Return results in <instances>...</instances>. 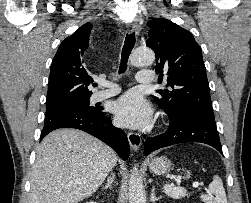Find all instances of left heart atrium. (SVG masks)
I'll return each instance as SVG.
<instances>
[{
    "label": "left heart atrium",
    "mask_w": 251,
    "mask_h": 203,
    "mask_svg": "<svg viewBox=\"0 0 251 203\" xmlns=\"http://www.w3.org/2000/svg\"><path fill=\"white\" fill-rule=\"evenodd\" d=\"M116 121L125 127L139 128L151 119V109L141 94L131 91L120 97L114 104Z\"/></svg>",
    "instance_id": "1"
}]
</instances>
